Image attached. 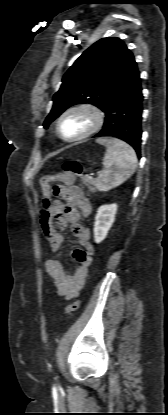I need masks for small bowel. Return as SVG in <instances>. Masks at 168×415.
<instances>
[{
	"label": "small bowel",
	"instance_id": "1",
	"mask_svg": "<svg viewBox=\"0 0 168 415\" xmlns=\"http://www.w3.org/2000/svg\"><path fill=\"white\" fill-rule=\"evenodd\" d=\"M53 197L59 198L52 203L54 224H58L61 228L70 224L81 246L73 250V257L79 264L74 274L67 273L62 262L56 258L47 260L45 265L47 273L53 279L57 293L68 300L78 295L92 264L94 246L91 242L90 231L86 226L78 223L81 216L86 217L91 214L92 204L83 191L73 185L56 186L53 188ZM53 221L45 223L41 220V225L51 251L57 252L63 243V236L54 228Z\"/></svg>",
	"mask_w": 168,
	"mask_h": 415
}]
</instances>
